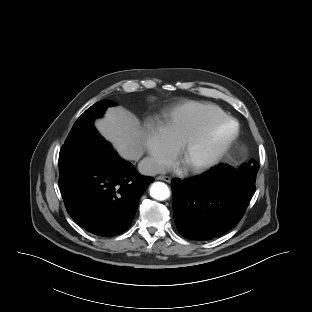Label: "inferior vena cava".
<instances>
[{
    "label": "inferior vena cava",
    "instance_id": "602c4592",
    "mask_svg": "<svg viewBox=\"0 0 312 312\" xmlns=\"http://www.w3.org/2000/svg\"><path fill=\"white\" fill-rule=\"evenodd\" d=\"M138 170L143 175L154 176L165 173L166 166L157 159L146 157L139 162Z\"/></svg>",
    "mask_w": 312,
    "mask_h": 312
}]
</instances>
